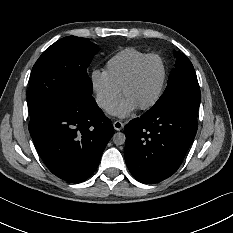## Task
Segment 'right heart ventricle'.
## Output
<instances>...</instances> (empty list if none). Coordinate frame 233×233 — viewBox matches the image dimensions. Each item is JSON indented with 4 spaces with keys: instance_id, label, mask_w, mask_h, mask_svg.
Here are the masks:
<instances>
[{
    "instance_id": "e07e8e85",
    "label": "right heart ventricle",
    "mask_w": 233,
    "mask_h": 233,
    "mask_svg": "<svg viewBox=\"0 0 233 233\" xmlns=\"http://www.w3.org/2000/svg\"><path fill=\"white\" fill-rule=\"evenodd\" d=\"M148 55L144 51L135 48L122 49L105 63L104 73L108 79L119 89L133 71V69Z\"/></svg>"
}]
</instances>
